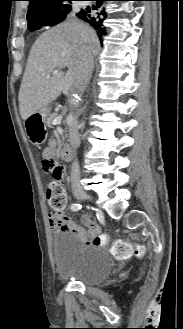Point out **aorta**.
<instances>
[{
    "mask_svg": "<svg viewBox=\"0 0 183 329\" xmlns=\"http://www.w3.org/2000/svg\"><path fill=\"white\" fill-rule=\"evenodd\" d=\"M78 95L77 94H75L73 97H72V99H71V103L72 104H74V105H76L77 103H78Z\"/></svg>",
    "mask_w": 183,
    "mask_h": 329,
    "instance_id": "1",
    "label": "aorta"
}]
</instances>
